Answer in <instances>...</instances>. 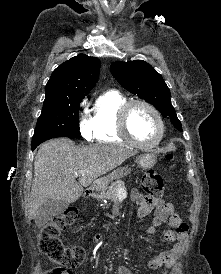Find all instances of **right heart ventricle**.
Wrapping results in <instances>:
<instances>
[{"mask_svg": "<svg viewBox=\"0 0 221 274\" xmlns=\"http://www.w3.org/2000/svg\"><path fill=\"white\" fill-rule=\"evenodd\" d=\"M129 101L118 90H107L100 94L93 106V137L99 143L124 145L128 142L121 136L118 128V114L121 107Z\"/></svg>", "mask_w": 221, "mask_h": 274, "instance_id": "obj_1", "label": "right heart ventricle"}]
</instances>
